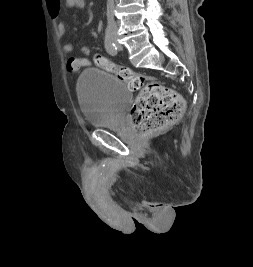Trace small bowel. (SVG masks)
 <instances>
[{"instance_id":"obj_1","label":"small bowel","mask_w":253,"mask_h":267,"mask_svg":"<svg viewBox=\"0 0 253 267\" xmlns=\"http://www.w3.org/2000/svg\"><path fill=\"white\" fill-rule=\"evenodd\" d=\"M65 5L68 8L72 9H83L86 5L85 0H64ZM48 10L50 14L58 20L57 23V34L60 39L65 37L66 34V28L64 22L61 20V5L60 2L61 0H46ZM63 51L65 53H71L74 51V46L73 44L69 42H65L63 44Z\"/></svg>"}]
</instances>
